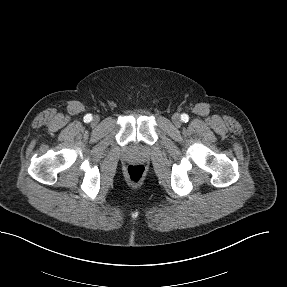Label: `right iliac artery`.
I'll return each instance as SVG.
<instances>
[{
	"instance_id": "82829eb1",
	"label": "right iliac artery",
	"mask_w": 287,
	"mask_h": 287,
	"mask_svg": "<svg viewBox=\"0 0 287 287\" xmlns=\"http://www.w3.org/2000/svg\"><path fill=\"white\" fill-rule=\"evenodd\" d=\"M92 121V115L91 114H87L85 117H84V122L86 123H89Z\"/></svg>"
}]
</instances>
